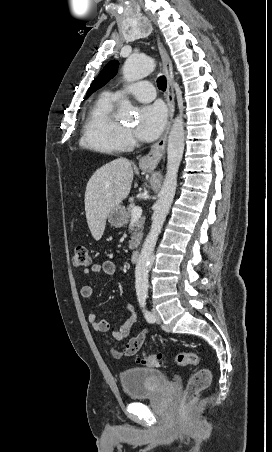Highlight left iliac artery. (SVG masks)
Listing matches in <instances>:
<instances>
[{
  "mask_svg": "<svg viewBox=\"0 0 272 452\" xmlns=\"http://www.w3.org/2000/svg\"><path fill=\"white\" fill-rule=\"evenodd\" d=\"M146 299H147L146 295L138 297V301H139L140 307L142 308L145 319L149 323H153V322H155V318H154L153 314L146 309Z\"/></svg>",
  "mask_w": 272,
  "mask_h": 452,
  "instance_id": "obj_1",
  "label": "left iliac artery"
}]
</instances>
